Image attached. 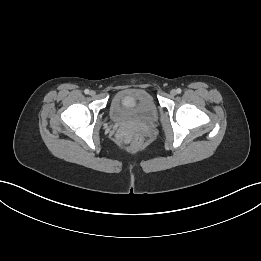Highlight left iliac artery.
<instances>
[{
    "instance_id": "obj_1",
    "label": "left iliac artery",
    "mask_w": 261,
    "mask_h": 261,
    "mask_svg": "<svg viewBox=\"0 0 261 261\" xmlns=\"http://www.w3.org/2000/svg\"><path fill=\"white\" fill-rule=\"evenodd\" d=\"M176 92H177L178 94H180V93L182 92V90H181L180 88H178V89L176 90Z\"/></svg>"
}]
</instances>
